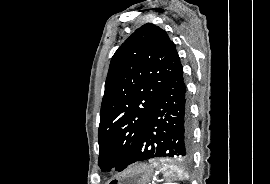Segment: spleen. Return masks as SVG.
Returning <instances> with one entry per match:
<instances>
[{
	"mask_svg": "<svg viewBox=\"0 0 270 184\" xmlns=\"http://www.w3.org/2000/svg\"><path fill=\"white\" fill-rule=\"evenodd\" d=\"M154 165L160 169L165 179L167 180L175 179L176 177L178 178L182 177V172L177 166H174L172 164L165 163V162L162 163L161 165H159L158 163H155ZM164 184H170V183H164Z\"/></svg>",
	"mask_w": 270,
	"mask_h": 184,
	"instance_id": "3e777b00",
	"label": "spleen"
}]
</instances>
